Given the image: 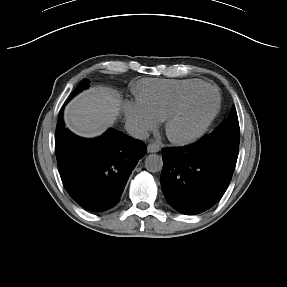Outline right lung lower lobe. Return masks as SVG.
I'll return each instance as SVG.
<instances>
[{"instance_id": "right-lung-lower-lobe-1", "label": "right lung lower lobe", "mask_w": 287, "mask_h": 287, "mask_svg": "<svg viewBox=\"0 0 287 287\" xmlns=\"http://www.w3.org/2000/svg\"><path fill=\"white\" fill-rule=\"evenodd\" d=\"M56 141L58 168L67 192L94 212L118 203L132 170L147 152L142 141L115 129L84 139L63 126L56 131Z\"/></svg>"}]
</instances>
